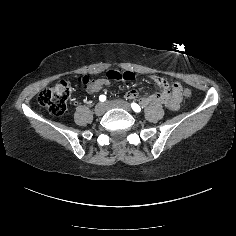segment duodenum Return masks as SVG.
<instances>
[{
	"label": "duodenum",
	"mask_w": 236,
	"mask_h": 236,
	"mask_svg": "<svg viewBox=\"0 0 236 236\" xmlns=\"http://www.w3.org/2000/svg\"><path fill=\"white\" fill-rule=\"evenodd\" d=\"M161 91L153 96L145 97L140 100L143 106L152 103H162L170 109H175L178 106L179 98L177 92L171 93L166 85H160Z\"/></svg>",
	"instance_id": "410a0bca"
}]
</instances>
